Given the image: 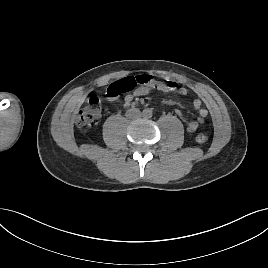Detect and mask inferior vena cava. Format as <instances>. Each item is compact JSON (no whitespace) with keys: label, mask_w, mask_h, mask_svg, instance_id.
<instances>
[{"label":"inferior vena cava","mask_w":268,"mask_h":268,"mask_svg":"<svg viewBox=\"0 0 268 268\" xmlns=\"http://www.w3.org/2000/svg\"><path fill=\"white\" fill-rule=\"evenodd\" d=\"M129 113H130V111H128V114L127 115L130 117V114ZM133 113H134L133 118H135V119L136 118H139L141 116V112L139 110H134Z\"/></svg>","instance_id":"inferior-vena-cava-1"}]
</instances>
